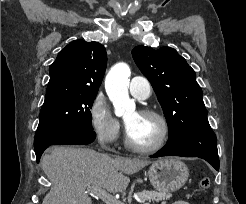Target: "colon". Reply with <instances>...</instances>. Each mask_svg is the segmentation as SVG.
<instances>
[{
  "instance_id": "colon-1",
  "label": "colon",
  "mask_w": 246,
  "mask_h": 204,
  "mask_svg": "<svg viewBox=\"0 0 246 204\" xmlns=\"http://www.w3.org/2000/svg\"><path fill=\"white\" fill-rule=\"evenodd\" d=\"M209 187H210V180H209V178L204 177V178H202V179L199 180V182H198V188L200 190H207V189H209Z\"/></svg>"
}]
</instances>
